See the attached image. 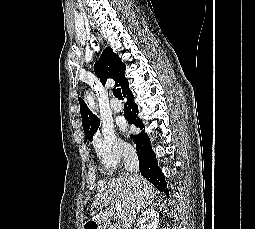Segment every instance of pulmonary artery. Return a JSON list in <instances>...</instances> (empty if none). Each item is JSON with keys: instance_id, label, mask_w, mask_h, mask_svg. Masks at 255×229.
I'll return each instance as SVG.
<instances>
[{"instance_id": "e3ab8cb5", "label": "pulmonary artery", "mask_w": 255, "mask_h": 229, "mask_svg": "<svg viewBox=\"0 0 255 229\" xmlns=\"http://www.w3.org/2000/svg\"><path fill=\"white\" fill-rule=\"evenodd\" d=\"M110 106H111L112 111L115 113H119L123 109L122 104L115 98L111 99Z\"/></svg>"}]
</instances>
